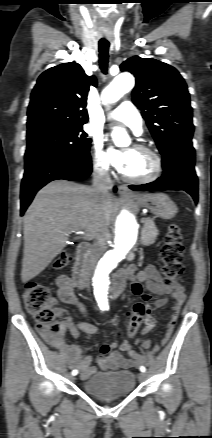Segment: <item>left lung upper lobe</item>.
Instances as JSON below:
<instances>
[{
  "mask_svg": "<svg viewBox=\"0 0 212 438\" xmlns=\"http://www.w3.org/2000/svg\"><path fill=\"white\" fill-rule=\"evenodd\" d=\"M120 68L136 77L132 100L142 111L160 153L175 143L191 141L192 107L179 72L161 61L138 56L127 59Z\"/></svg>",
  "mask_w": 212,
  "mask_h": 438,
  "instance_id": "obj_1",
  "label": "left lung upper lobe"
}]
</instances>
